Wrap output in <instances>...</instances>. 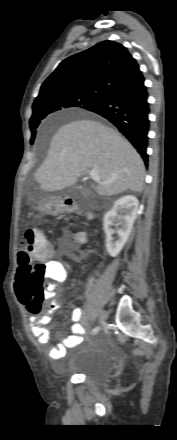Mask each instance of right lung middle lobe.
<instances>
[{"instance_id":"dd1d6c3e","label":"right lung middle lobe","mask_w":177,"mask_h":440,"mask_svg":"<svg viewBox=\"0 0 177 440\" xmlns=\"http://www.w3.org/2000/svg\"><path fill=\"white\" fill-rule=\"evenodd\" d=\"M103 97L102 94L91 93H79L69 92L57 96L56 98L49 100L43 104L33 107V115L30 119V129L32 137L30 143L33 144L36 136V128L40 124V121L44 119L48 114L63 110L65 108L79 107L87 109L91 105L95 104Z\"/></svg>"}]
</instances>
